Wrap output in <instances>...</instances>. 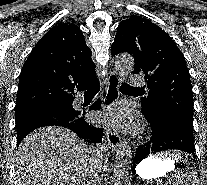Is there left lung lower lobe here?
<instances>
[{
  "label": "left lung lower lobe",
  "instance_id": "0a47b994",
  "mask_svg": "<svg viewBox=\"0 0 207 185\" xmlns=\"http://www.w3.org/2000/svg\"><path fill=\"white\" fill-rule=\"evenodd\" d=\"M143 115L150 123L152 137L137 149L133 164L142 161L150 154L169 149L181 150L196 157L193 131L181 121L171 115H164L160 119Z\"/></svg>",
  "mask_w": 207,
  "mask_h": 185
}]
</instances>
